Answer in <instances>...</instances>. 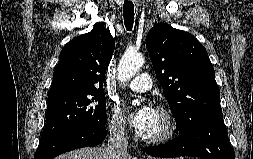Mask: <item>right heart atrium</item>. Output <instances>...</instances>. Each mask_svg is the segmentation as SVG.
<instances>
[{
	"label": "right heart atrium",
	"mask_w": 253,
	"mask_h": 159,
	"mask_svg": "<svg viewBox=\"0 0 253 159\" xmlns=\"http://www.w3.org/2000/svg\"><path fill=\"white\" fill-rule=\"evenodd\" d=\"M107 126L112 134L120 138L127 136L129 132V125L123 113L117 107H113L109 111Z\"/></svg>",
	"instance_id": "d8ad5b80"
}]
</instances>
